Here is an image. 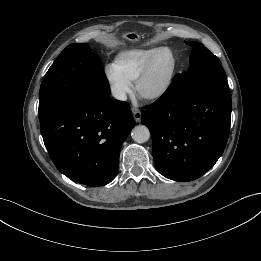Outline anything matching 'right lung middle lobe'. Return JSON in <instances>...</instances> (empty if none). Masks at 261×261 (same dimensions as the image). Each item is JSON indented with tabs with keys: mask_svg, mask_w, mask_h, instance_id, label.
Here are the masks:
<instances>
[{
	"mask_svg": "<svg viewBox=\"0 0 261 261\" xmlns=\"http://www.w3.org/2000/svg\"><path fill=\"white\" fill-rule=\"evenodd\" d=\"M110 94L97 54L86 44L67 46L45 74L40 87L39 119L77 96Z\"/></svg>",
	"mask_w": 261,
	"mask_h": 261,
	"instance_id": "right-lung-middle-lobe-1",
	"label": "right lung middle lobe"
}]
</instances>
